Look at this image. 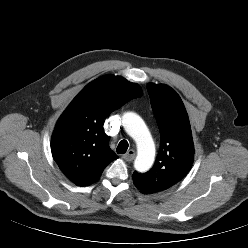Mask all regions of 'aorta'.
<instances>
[{
	"mask_svg": "<svg viewBox=\"0 0 248 248\" xmlns=\"http://www.w3.org/2000/svg\"><path fill=\"white\" fill-rule=\"evenodd\" d=\"M123 126L137 145L135 169L140 172L149 170L155 159V144L145 122L136 113L128 112L123 116Z\"/></svg>",
	"mask_w": 248,
	"mask_h": 248,
	"instance_id": "762f6f07",
	"label": "aorta"
}]
</instances>
